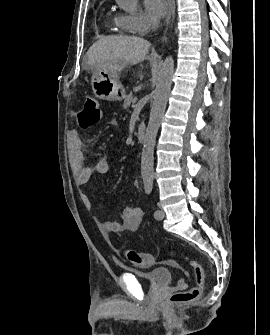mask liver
<instances>
[{"label":"liver","mask_w":270,"mask_h":335,"mask_svg":"<svg viewBox=\"0 0 270 335\" xmlns=\"http://www.w3.org/2000/svg\"><path fill=\"white\" fill-rule=\"evenodd\" d=\"M150 46V42L137 36H106L89 48L87 64L92 70L105 68L114 76L126 66L142 62Z\"/></svg>","instance_id":"obj_1"}]
</instances>
